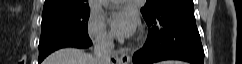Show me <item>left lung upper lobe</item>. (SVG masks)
I'll use <instances>...</instances> for the list:
<instances>
[{"label": "left lung upper lobe", "mask_w": 242, "mask_h": 64, "mask_svg": "<svg viewBox=\"0 0 242 64\" xmlns=\"http://www.w3.org/2000/svg\"><path fill=\"white\" fill-rule=\"evenodd\" d=\"M172 0H147V3L141 9L144 17L152 16L162 5Z\"/></svg>", "instance_id": "obj_1"}]
</instances>
